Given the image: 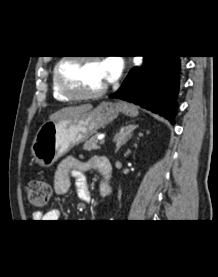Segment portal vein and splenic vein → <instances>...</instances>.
<instances>
[{
    "label": "portal vein and splenic vein",
    "instance_id": "1",
    "mask_svg": "<svg viewBox=\"0 0 218 277\" xmlns=\"http://www.w3.org/2000/svg\"><path fill=\"white\" fill-rule=\"evenodd\" d=\"M99 140H100V144H101V145H103V144L105 143L104 138H100Z\"/></svg>",
    "mask_w": 218,
    "mask_h": 277
}]
</instances>
